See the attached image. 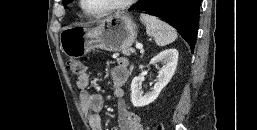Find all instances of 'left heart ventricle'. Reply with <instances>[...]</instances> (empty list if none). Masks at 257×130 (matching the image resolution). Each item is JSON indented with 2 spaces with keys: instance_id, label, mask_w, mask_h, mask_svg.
Here are the masks:
<instances>
[{
  "instance_id": "obj_1",
  "label": "left heart ventricle",
  "mask_w": 257,
  "mask_h": 130,
  "mask_svg": "<svg viewBox=\"0 0 257 130\" xmlns=\"http://www.w3.org/2000/svg\"><path fill=\"white\" fill-rule=\"evenodd\" d=\"M121 0H84L85 7L92 13L102 12Z\"/></svg>"
}]
</instances>
